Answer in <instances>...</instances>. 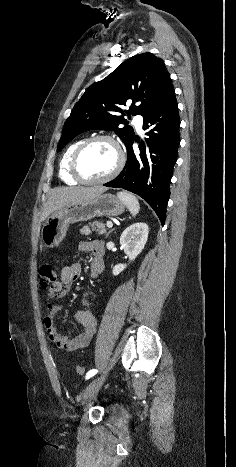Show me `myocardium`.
<instances>
[{"instance_id": "f54148a6", "label": "myocardium", "mask_w": 236, "mask_h": 467, "mask_svg": "<svg viewBox=\"0 0 236 467\" xmlns=\"http://www.w3.org/2000/svg\"><path fill=\"white\" fill-rule=\"evenodd\" d=\"M100 140H105L110 142L117 153V163L114 167V169L107 174L106 176L99 178V179H87L83 176L79 169V161L82 153L84 150L91 145L94 142L100 141ZM125 165V153L120 145V143L112 136L106 135V134H99L95 135L93 137H90L86 140H84L73 152L70 164H69V172L71 176L76 179L78 182H81L83 184H101V183H106L112 179H114L116 176L120 174V172L123 170Z\"/></svg>"}]
</instances>
